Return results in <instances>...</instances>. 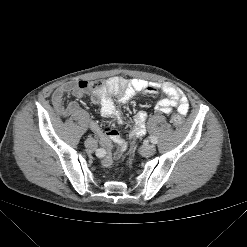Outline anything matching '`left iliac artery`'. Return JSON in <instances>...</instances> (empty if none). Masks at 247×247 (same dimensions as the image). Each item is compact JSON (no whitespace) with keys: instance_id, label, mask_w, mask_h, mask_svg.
I'll list each match as a JSON object with an SVG mask.
<instances>
[{"instance_id":"1","label":"left iliac artery","mask_w":247,"mask_h":247,"mask_svg":"<svg viewBox=\"0 0 247 247\" xmlns=\"http://www.w3.org/2000/svg\"><path fill=\"white\" fill-rule=\"evenodd\" d=\"M150 141L153 143V144H157L158 140L155 136H151L150 137Z\"/></svg>"}]
</instances>
